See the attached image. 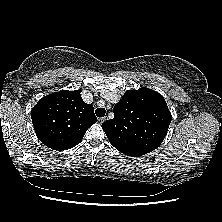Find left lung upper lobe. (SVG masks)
Returning a JSON list of instances; mask_svg holds the SVG:
<instances>
[{
	"label": "left lung upper lobe",
	"mask_w": 222,
	"mask_h": 222,
	"mask_svg": "<svg viewBox=\"0 0 222 222\" xmlns=\"http://www.w3.org/2000/svg\"><path fill=\"white\" fill-rule=\"evenodd\" d=\"M114 118L102 128L114 147H142L151 151L164 140L171 113L164 97L148 88L129 90L114 106Z\"/></svg>",
	"instance_id": "obj_1"
}]
</instances>
